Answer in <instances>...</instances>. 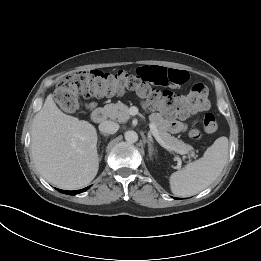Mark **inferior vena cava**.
<instances>
[{
  "mask_svg": "<svg viewBox=\"0 0 261 261\" xmlns=\"http://www.w3.org/2000/svg\"><path fill=\"white\" fill-rule=\"evenodd\" d=\"M118 129L119 125L113 121H104L99 124V130L103 134H114Z\"/></svg>",
  "mask_w": 261,
  "mask_h": 261,
  "instance_id": "inferior-vena-cava-1",
  "label": "inferior vena cava"
}]
</instances>
